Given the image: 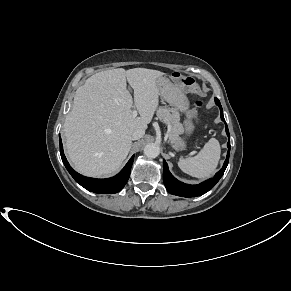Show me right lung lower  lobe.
<instances>
[{"label":"right lung lower lobe","mask_w":291,"mask_h":291,"mask_svg":"<svg viewBox=\"0 0 291 291\" xmlns=\"http://www.w3.org/2000/svg\"><path fill=\"white\" fill-rule=\"evenodd\" d=\"M60 154L66 169L78 184H80L82 187L91 192L102 194L117 193L125 186L129 179L131 166L134 160V156H132L128 163L125 165V167L114 177L106 179H95L85 177L72 169L63 153L61 139H60Z\"/></svg>","instance_id":"right-lung-lower-lobe-1"}]
</instances>
